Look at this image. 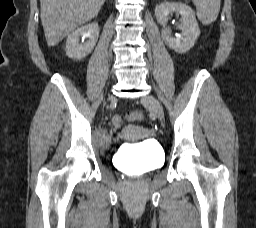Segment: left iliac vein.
I'll return each mask as SVG.
<instances>
[{
	"mask_svg": "<svg viewBox=\"0 0 256 228\" xmlns=\"http://www.w3.org/2000/svg\"><path fill=\"white\" fill-rule=\"evenodd\" d=\"M142 102L145 106L151 109V111L158 117L159 120H163V108L160 102L154 96L147 94L142 98Z\"/></svg>",
	"mask_w": 256,
	"mask_h": 228,
	"instance_id": "4c4485c4",
	"label": "left iliac vein"
}]
</instances>
